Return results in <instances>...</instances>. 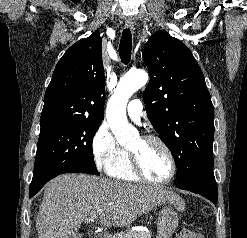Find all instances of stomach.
<instances>
[{"label": "stomach", "mask_w": 247, "mask_h": 238, "mask_svg": "<svg viewBox=\"0 0 247 238\" xmlns=\"http://www.w3.org/2000/svg\"><path fill=\"white\" fill-rule=\"evenodd\" d=\"M178 226V217L176 212L170 207L165 206L158 218L157 238H170Z\"/></svg>", "instance_id": "stomach-1"}]
</instances>
